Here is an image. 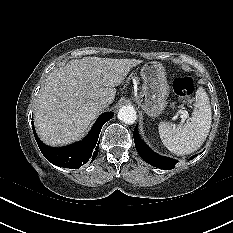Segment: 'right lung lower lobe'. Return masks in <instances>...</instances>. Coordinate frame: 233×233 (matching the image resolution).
<instances>
[{"instance_id":"98d812e1","label":"right lung lower lobe","mask_w":233,"mask_h":233,"mask_svg":"<svg viewBox=\"0 0 233 233\" xmlns=\"http://www.w3.org/2000/svg\"><path fill=\"white\" fill-rule=\"evenodd\" d=\"M113 115L111 112L103 113L97 119L87 137L78 143L66 147L52 148L46 146L38 138L34 127L33 132L42 154L49 162L59 167L78 169L87 162H93L96 158L99 149L98 137L101 128Z\"/></svg>"}]
</instances>
